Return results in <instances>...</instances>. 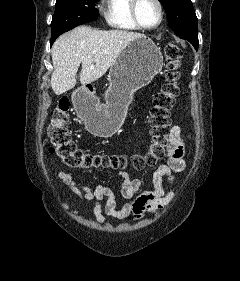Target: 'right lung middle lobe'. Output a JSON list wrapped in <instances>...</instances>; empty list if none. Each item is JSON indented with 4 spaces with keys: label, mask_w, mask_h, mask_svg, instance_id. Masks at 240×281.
Segmentation results:
<instances>
[{
    "label": "right lung middle lobe",
    "mask_w": 240,
    "mask_h": 281,
    "mask_svg": "<svg viewBox=\"0 0 240 281\" xmlns=\"http://www.w3.org/2000/svg\"><path fill=\"white\" fill-rule=\"evenodd\" d=\"M96 0H56L55 13L51 22V41L74 27L98 19Z\"/></svg>",
    "instance_id": "1"
}]
</instances>
